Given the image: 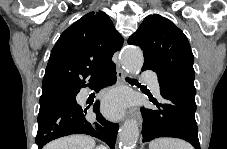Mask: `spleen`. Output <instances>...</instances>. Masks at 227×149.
<instances>
[{"mask_svg":"<svg viewBox=\"0 0 227 149\" xmlns=\"http://www.w3.org/2000/svg\"><path fill=\"white\" fill-rule=\"evenodd\" d=\"M149 149H192V147L179 139L158 138L149 144Z\"/></svg>","mask_w":227,"mask_h":149,"instance_id":"1","label":"spleen"}]
</instances>
